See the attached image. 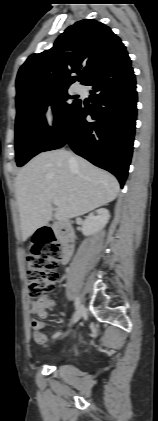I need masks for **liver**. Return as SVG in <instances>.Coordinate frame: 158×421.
<instances>
[{
  "label": "liver",
  "instance_id": "6515ba94",
  "mask_svg": "<svg viewBox=\"0 0 158 421\" xmlns=\"http://www.w3.org/2000/svg\"><path fill=\"white\" fill-rule=\"evenodd\" d=\"M66 150L42 152L18 173L15 196L22 239L26 241L53 216L51 202L59 200L54 217L66 221L113 201L119 182L110 173Z\"/></svg>",
  "mask_w": 158,
  "mask_h": 421
}]
</instances>
